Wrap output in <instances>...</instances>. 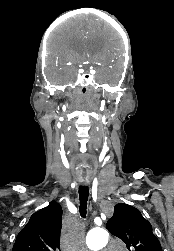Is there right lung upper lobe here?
I'll list each match as a JSON object with an SVG mask.
<instances>
[{
    "label": "right lung upper lobe",
    "mask_w": 174,
    "mask_h": 251,
    "mask_svg": "<svg viewBox=\"0 0 174 251\" xmlns=\"http://www.w3.org/2000/svg\"><path fill=\"white\" fill-rule=\"evenodd\" d=\"M62 209L56 202L35 212L19 232L12 251H58Z\"/></svg>",
    "instance_id": "obj_1"
}]
</instances>
